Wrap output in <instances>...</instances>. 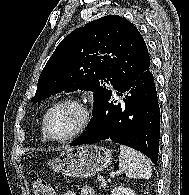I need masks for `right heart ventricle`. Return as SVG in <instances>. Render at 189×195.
Segmentation results:
<instances>
[{
    "mask_svg": "<svg viewBox=\"0 0 189 195\" xmlns=\"http://www.w3.org/2000/svg\"><path fill=\"white\" fill-rule=\"evenodd\" d=\"M42 136H43V139H44V140H47V137H46V135H45V133H44V131H43V126H42Z\"/></svg>",
    "mask_w": 189,
    "mask_h": 195,
    "instance_id": "right-heart-ventricle-1",
    "label": "right heart ventricle"
}]
</instances>
